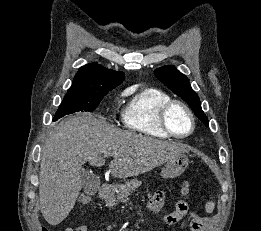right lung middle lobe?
I'll return each mask as SVG.
<instances>
[{"label":"right lung middle lobe","mask_w":261,"mask_h":231,"mask_svg":"<svg viewBox=\"0 0 261 231\" xmlns=\"http://www.w3.org/2000/svg\"><path fill=\"white\" fill-rule=\"evenodd\" d=\"M102 93H67L56 112L53 121L74 112L94 111L101 102L104 95Z\"/></svg>","instance_id":"right-lung-middle-lobe-1"}]
</instances>
